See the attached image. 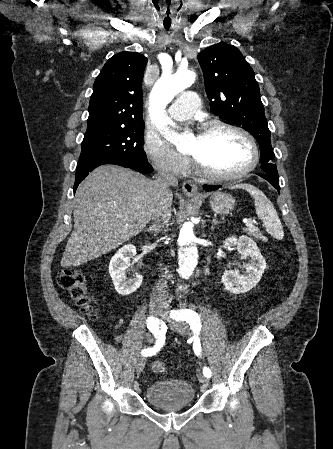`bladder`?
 I'll list each match as a JSON object with an SVG mask.
<instances>
[{
	"mask_svg": "<svg viewBox=\"0 0 333 449\" xmlns=\"http://www.w3.org/2000/svg\"><path fill=\"white\" fill-rule=\"evenodd\" d=\"M146 400L158 408L188 407L194 403L195 390L182 380L157 381L147 387Z\"/></svg>",
	"mask_w": 333,
	"mask_h": 449,
	"instance_id": "bladder-1",
	"label": "bladder"
}]
</instances>
